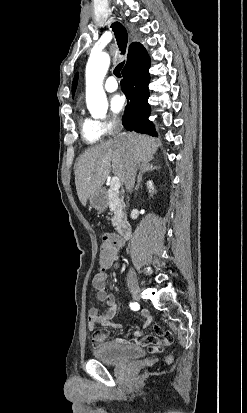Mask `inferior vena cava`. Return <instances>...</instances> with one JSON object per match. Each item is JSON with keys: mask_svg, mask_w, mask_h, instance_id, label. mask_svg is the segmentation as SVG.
Instances as JSON below:
<instances>
[{"mask_svg": "<svg viewBox=\"0 0 247 413\" xmlns=\"http://www.w3.org/2000/svg\"><path fill=\"white\" fill-rule=\"evenodd\" d=\"M115 142H120V140H125V134L123 132H120V130H116L115 136H114ZM126 148L128 150H131V146L127 144ZM142 164H136L132 158V154H130L127 162H126V168H125V188H128L129 192H131L135 178H136V170L137 168H141ZM127 281H136V273L134 269H130L128 275H127Z\"/></svg>", "mask_w": 247, "mask_h": 413, "instance_id": "1", "label": "inferior vena cava"}]
</instances>
